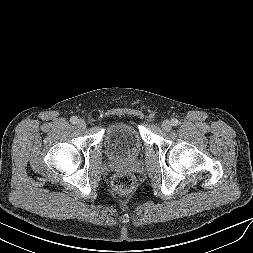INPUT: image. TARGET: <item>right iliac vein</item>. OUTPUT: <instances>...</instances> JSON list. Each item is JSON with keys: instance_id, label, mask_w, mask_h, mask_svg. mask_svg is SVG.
I'll list each match as a JSON object with an SVG mask.
<instances>
[{"instance_id": "63e3f726", "label": "right iliac vein", "mask_w": 253, "mask_h": 253, "mask_svg": "<svg viewBox=\"0 0 253 253\" xmlns=\"http://www.w3.org/2000/svg\"><path fill=\"white\" fill-rule=\"evenodd\" d=\"M77 127H78L80 130L86 129V122H85L83 119H79V120L77 121Z\"/></svg>"}]
</instances>
